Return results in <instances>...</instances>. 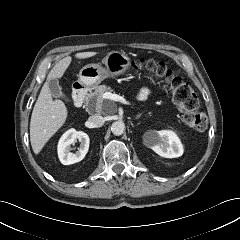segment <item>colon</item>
Wrapping results in <instances>:
<instances>
[{
    "label": "colon",
    "instance_id": "colon-1",
    "mask_svg": "<svg viewBox=\"0 0 240 240\" xmlns=\"http://www.w3.org/2000/svg\"><path fill=\"white\" fill-rule=\"evenodd\" d=\"M134 68L161 81L172 102L183 113V121L188 127L199 132L206 129L207 116L199 109L196 93L165 62L154 59H139L135 61Z\"/></svg>",
    "mask_w": 240,
    "mask_h": 240
}]
</instances>
